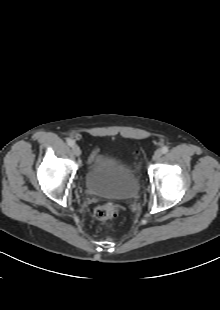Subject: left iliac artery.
I'll use <instances>...</instances> for the list:
<instances>
[{"instance_id":"1","label":"left iliac artery","mask_w":220,"mask_h":310,"mask_svg":"<svg viewBox=\"0 0 220 310\" xmlns=\"http://www.w3.org/2000/svg\"><path fill=\"white\" fill-rule=\"evenodd\" d=\"M168 147L167 146H164V147H162V149H161V152L163 153V154H166L167 152H168Z\"/></svg>"}]
</instances>
